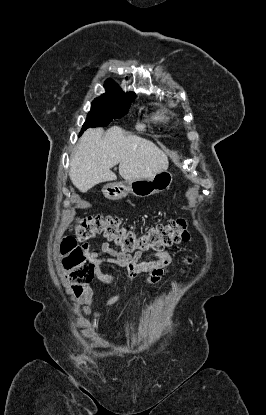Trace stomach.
I'll list each match as a JSON object with an SVG mask.
<instances>
[{
  "label": "stomach",
  "instance_id": "obj_1",
  "mask_svg": "<svg viewBox=\"0 0 266 415\" xmlns=\"http://www.w3.org/2000/svg\"><path fill=\"white\" fill-rule=\"evenodd\" d=\"M173 174L164 170L150 179H138L118 183H109L103 187V194L109 200H120L128 193L136 197L145 198L170 188Z\"/></svg>",
  "mask_w": 266,
  "mask_h": 415
}]
</instances>
